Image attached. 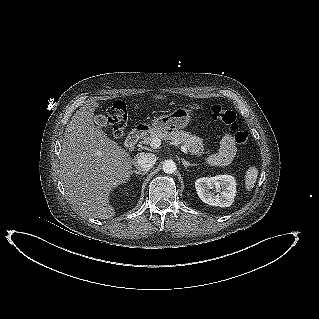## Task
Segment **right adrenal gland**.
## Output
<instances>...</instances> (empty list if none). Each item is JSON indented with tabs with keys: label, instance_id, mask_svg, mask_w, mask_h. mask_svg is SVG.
Listing matches in <instances>:
<instances>
[{
	"label": "right adrenal gland",
	"instance_id": "obj_1",
	"mask_svg": "<svg viewBox=\"0 0 319 319\" xmlns=\"http://www.w3.org/2000/svg\"><path fill=\"white\" fill-rule=\"evenodd\" d=\"M132 173H135V174H137V175H141V176H144L145 174H146V172H141L140 170H134V171H132Z\"/></svg>",
	"mask_w": 319,
	"mask_h": 319
}]
</instances>
